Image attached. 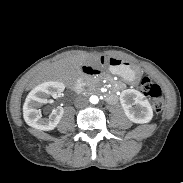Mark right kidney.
<instances>
[{"mask_svg": "<svg viewBox=\"0 0 183 183\" xmlns=\"http://www.w3.org/2000/svg\"><path fill=\"white\" fill-rule=\"evenodd\" d=\"M64 90V84L58 81H49L35 87L27 96L23 106V116L25 122L39 130H53L60 122L64 109L57 107L50 115L43 117L40 107L47 104L50 96H56Z\"/></svg>", "mask_w": 183, "mask_h": 183, "instance_id": "ca27d5eb", "label": "right kidney"}]
</instances>
